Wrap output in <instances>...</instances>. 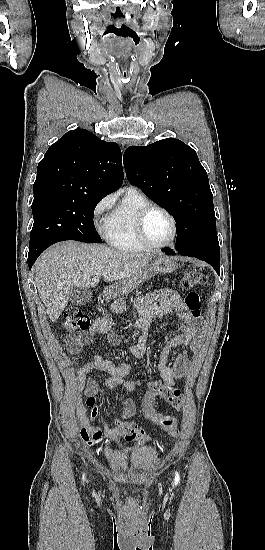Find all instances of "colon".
<instances>
[{"instance_id":"5ec220e1","label":"colon","mask_w":265,"mask_h":550,"mask_svg":"<svg viewBox=\"0 0 265 550\" xmlns=\"http://www.w3.org/2000/svg\"><path fill=\"white\" fill-rule=\"evenodd\" d=\"M205 281L204 274L195 267H190L185 270L180 281L181 288L189 290L192 287L201 284ZM186 306L193 317L200 316V296L197 292L191 291L185 297ZM90 327L89 317L79 308L69 307L64 313L63 328L67 333L85 331ZM160 395L164 400L171 404L174 408L180 409L183 406L184 400L178 389H168L160 382L152 384L151 388L146 392L142 399V413L145 417L151 420H160L161 425L169 432L171 437H176L179 433L177 422L169 417L160 416L153 408L154 399ZM88 405L94 406V400L90 398ZM117 431L127 440L147 441L148 436L133 422L121 421L116 422Z\"/></svg>"}]
</instances>
